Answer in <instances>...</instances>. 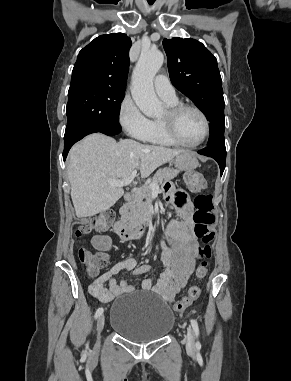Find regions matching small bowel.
<instances>
[{"label":"small bowel","instance_id":"c3829d8e","mask_svg":"<svg viewBox=\"0 0 291 381\" xmlns=\"http://www.w3.org/2000/svg\"><path fill=\"white\" fill-rule=\"evenodd\" d=\"M166 195L169 201L176 202L182 221L172 222L160 242L162 271L157 283L153 285L150 279H143L139 288L151 291L160 295L165 301L171 302L185 288L194 272L199 245L191 231L192 206L189 203H178L177 200L183 196L170 187L166 188ZM91 243L95 249L105 251L109 249L111 240L106 235H96ZM123 270L140 276L151 272L152 267L147 264L136 266L133 258L123 259L92 281L89 286L90 293L100 302L109 303L123 293L133 292L135 286L125 280L117 283L114 279Z\"/></svg>","mask_w":291,"mask_h":381}]
</instances>
